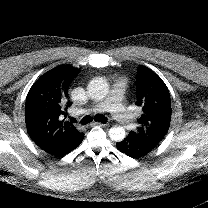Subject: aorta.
I'll list each match as a JSON object with an SVG mask.
<instances>
[{"label": "aorta", "mask_w": 208, "mask_h": 208, "mask_svg": "<svg viewBox=\"0 0 208 208\" xmlns=\"http://www.w3.org/2000/svg\"><path fill=\"white\" fill-rule=\"evenodd\" d=\"M108 84L103 78H94L87 86L89 96L100 101L108 94ZM125 129L123 127H112L109 130V136L114 141H122L125 138Z\"/></svg>", "instance_id": "1"}]
</instances>
